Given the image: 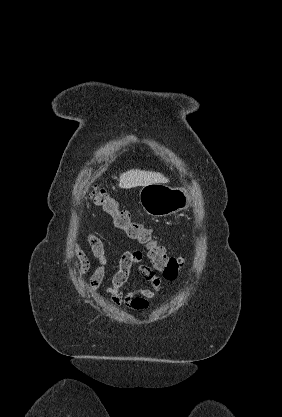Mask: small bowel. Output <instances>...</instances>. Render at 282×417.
Wrapping results in <instances>:
<instances>
[{
	"instance_id": "1",
	"label": "small bowel",
	"mask_w": 282,
	"mask_h": 417,
	"mask_svg": "<svg viewBox=\"0 0 282 417\" xmlns=\"http://www.w3.org/2000/svg\"><path fill=\"white\" fill-rule=\"evenodd\" d=\"M87 242L92 255L97 259L98 266L90 276V291H96L104 280L106 274L107 258L105 247L99 237L93 233L87 235ZM75 256L79 262V275H86L91 263L87 254L77 245ZM142 254L139 251H126L119 261L118 271L112 279V286L108 289L111 300L117 307L125 306L135 311H144L149 308V301L155 298L161 290L162 280L156 275L155 270L145 264H141ZM147 280L151 287L127 290L128 280L134 270Z\"/></svg>"
}]
</instances>
